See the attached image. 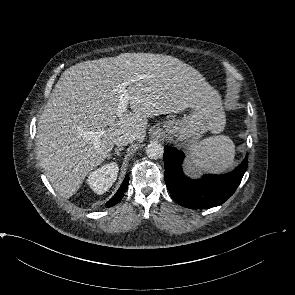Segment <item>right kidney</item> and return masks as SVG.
<instances>
[{"mask_svg": "<svg viewBox=\"0 0 295 295\" xmlns=\"http://www.w3.org/2000/svg\"><path fill=\"white\" fill-rule=\"evenodd\" d=\"M118 171L117 163L111 162L105 164L89 174L87 183L95 193L103 194L116 181Z\"/></svg>", "mask_w": 295, "mask_h": 295, "instance_id": "1", "label": "right kidney"}]
</instances>
